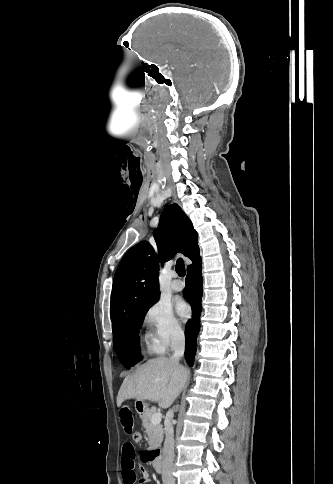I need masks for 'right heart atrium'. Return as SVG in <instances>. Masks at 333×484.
<instances>
[{
    "label": "right heart atrium",
    "mask_w": 333,
    "mask_h": 484,
    "mask_svg": "<svg viewBox=\"0 0 333 484\" xmlns=\"http://www.w3.org/2000/svg\"><path fill=\"white\" fill-rule=\"evenodd\" d=\"M148 328L147 341L151 349L161 352L183 337V327L170 304L157 300L144 317Z\"/></svg>",
    "instance_id": "1"
}]
</instances>
